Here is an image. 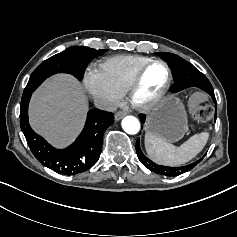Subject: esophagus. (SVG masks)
Here are the masks:
<instances>
[{"label":"esophagus","instance_id":"34e87169","mask_svg":"<svg viewBox=\"0 0 237 237\" xmlns=\"http://www.w3.org/2000/svg\"><path fill=\"white\" fill-rule=\"evenodd\" d=\"M125 115H126V112H124V111H118V112L115 114V120H116V121H119V120L122 119Z\"/></svg>","mask_w":237,"mask_h":237}]
</instances>
